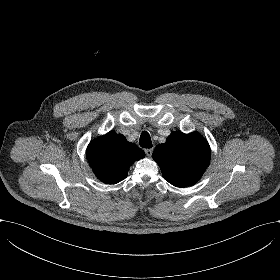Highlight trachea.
I'll return each instance as SVG.
<instances>
[{
  "label": "trachea",
  "mask_w": 280,
  "mask_h": 280,
  "mask_svg": "<svg viewBox=\"0 0 280 280\" xmlns=\"http://www.w3.org/2000/svg\"><path fill=\"white\" fill-rule=\"evenodd\" d=\"M139 144L143 148H152V142L150 139V135L147 131H143L141 133L140 139H139Z\"/></svg>",
  "instance_id": "3493384b"
}]
</instances>
